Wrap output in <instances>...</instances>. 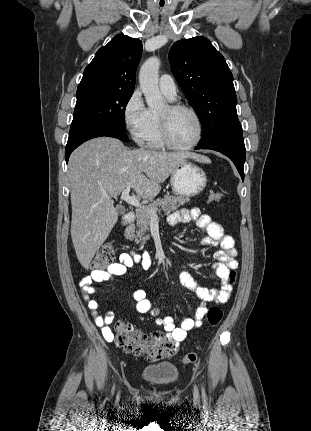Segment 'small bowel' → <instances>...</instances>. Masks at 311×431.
Instances as JSON below:
<instances>
[{
    "label": "small bowel",
    "mask_w": 311,
    "mask_h": 431,
    "mask_svg": "<svg viewBox=\"0 0 311 431\" xmlns=\"http://www.w3.org/2000/svg\"><path fill=\"white\" fill-rule=\"evenodd\" d=\"M168 221L172 226L194 221L197 227L206 234L202 244L219 247V250L216 251L214 255L216 263L214 264L213 271L215 277L222 283L220 289L200 287L188 272H181V283L185 287L194 291L201 299V303L192 317L185 318L178 324H176L170 316L161 317L159 315V309L152 305V302L147 297L145 290L136 289L133 291L132 298L136 303L137 312L150 314L155 317L156 325L161 326L167 333L165 336L178 344L186 338L188 331L202 325V320L207 314L209 303L221 304L228 300L232 291V287L228 284V275L231 270L237 268V251L235 249L234 239L224 233V230L219 223L213 221L210 216L202 214L198 208H192L189 210L181 209L173 212L168 217ZM136 264H139L143 270H148L151 266V258L147 254L140 256L133 253H122L117 262L110 264L104 270L91 271L79 283L83 299L91 311L94 322L99 328H101L103 337L108 342H111L114 338V335L108 326L113 319V314L108 313L105 317L99 314L98 303L91 297L96 293V288H94L92 284L111 281L116 277L123 276L127 273L128 269L133 268ZM158 334L161 333H155L154 335Z\"/></svg>",
    "instance_id": "small-bowel-1"
}]
</instances>
